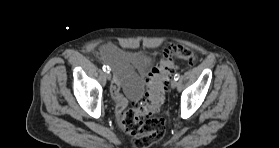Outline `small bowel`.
Segmentation results:
<instances>
[{
    "label": "small bowel",
    "instance_id": "small-bowel-1",
    "mask_svg": "<svg viewBox=\"0 0 279 148\" xmlns=\"http://www.w3.org/2000/svg\"><path fill=\"white\" fill-rule=\"evenodd\" d=\"M102 59L114 69V79L111 85V94L116 104V112L120 114L127 105V98L138 100L143 91L141 75L145 74L153 64L150 56L127 58L117 47L107 44L102 48ZM128 59L135 62L139 73L129 64ZM124 91L126 97L122 94Z\"/></svg>",
    "mask_w": 279,
    "mask_h": 148
}]
</instances>
